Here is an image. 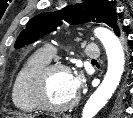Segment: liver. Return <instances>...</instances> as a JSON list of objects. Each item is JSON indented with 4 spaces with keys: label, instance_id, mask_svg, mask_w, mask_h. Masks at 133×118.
<instances>
[{
    "label": "liver",
    "instance_id": "liver-1",
    "mask_svg": "<svg viewBox=\"0 0 133 118\" xmlns=\"http://www.w3.org/2000/svg\"><path fill=\"white\" fill-rule=\"evenodd\" d=\"M15 115V118H35V115L32 114L15 113Z\"/></svg>",
    "mask_w": 133,
    "mask_h": 118
}]
</instances>
